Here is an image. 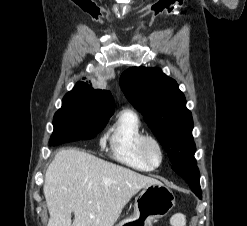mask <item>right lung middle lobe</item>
I'll list each match as a JSON object with an SVG mask.
<instances>
[{"instance_id": "dd1d6c3e", "label": "right lung middle lobe", "mask_w": 247, "mask_h": 226, "mask_svg": "<svg viewBox=\"0 0 247 226\" xmlns=\"http://www.w3.org/2000/svg\"><path fill=\"white\" fill-rule=\"evenodd\" d=\"M111 114L102 112L101 104L78 93H67L53 119L50 145L94 138L107 124Z\"/></svg>"}]
</instances>
